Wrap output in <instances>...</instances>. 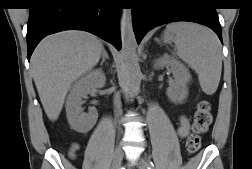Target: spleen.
<instances>
[{"instance_id": "3e777b00", "label": "spleen", "mask_w": 252, "mask_h": 169, "mask_svg": "<svg viewBox=\"0 0 252 169\" xmlns=\"http://www.w3.org/2000/svg\"><path fill=\"white\" fill-rule=\"evenodd\" d=\"M170 27L176 34L178 56L197 73L203 92L212 95L218 88L222 70L216 36L206 27L192 23Z\"/></svg>"}]
</instances>
